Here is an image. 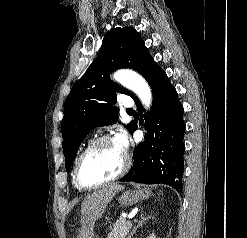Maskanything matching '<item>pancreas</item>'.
<instances>
[{
  "instance_id": "1",
  "label": "pancreas",
  "mask_w": 247,
  "mask_h": 238,
  "mask_svg": "<svg viewBox=\"0 0 247 238\" xmlns=\"http://www.w3.org/2000/svg\"><path fill=\"white\" fill-rule=\"evenodd\" d=\"M131 227V223H129L126 219L120 218L111 228V233L107 238H126Z\"/></svg>"
}]
</instances>
